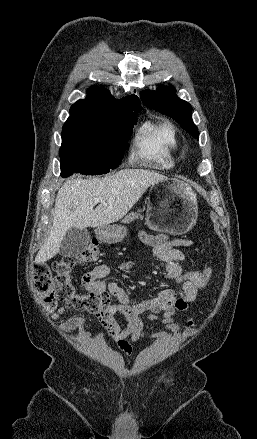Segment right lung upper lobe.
<instances>
[{
  "mask_svg": "<svg viewBox=\"0 0 257 439\" xmlns=\"http://www.w3.org/2000/svg\"><path fill=\"white\" fill-rule=\"evenodd\" d=\"M134 94L116 100L105 88H91L85 100H79L70 108V117L92 116L107 119H120L129 113L139 112L142 107Z\"/></svg>",
  "mask_w": 257,
  "mask_h": 439,
  "instance_id": "1",
  "label": "right lung upper lobe"
}]
</instances>
